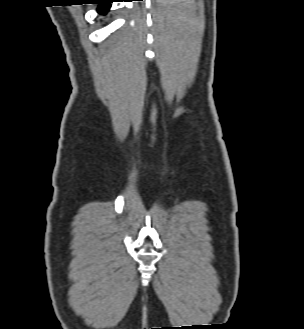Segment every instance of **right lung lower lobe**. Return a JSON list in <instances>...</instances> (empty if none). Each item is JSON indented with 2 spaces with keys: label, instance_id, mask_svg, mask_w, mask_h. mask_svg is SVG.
Masks as SVG:
<instances>
[{
  "label": "right lung lower lobe",
  "instance_id": "1",
  "mask_svg": "<svg viewBox=\"0 0 304 329\" xmlns=\"http://www.w3.org/2000/svg\"><path fill=\"white\" fill-rule=\"evenodd\" d=\"M113 0H99L96 3H99L98 6V12L101 14H105L109 8H110V3H112Z\"/></svg>",
  "mask_w": 304,
  "mask_h": 329
}]
</instances>
